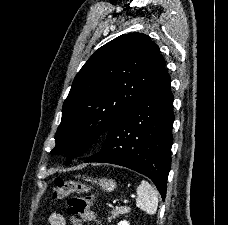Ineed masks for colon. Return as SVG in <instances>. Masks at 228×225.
I'll use <instances>...</instances> for the list:
<instances>
[{
	"instance_id": "colon-1",
	"label": "colon",
	"mask_w": 228,
	"mask_h": 225,
	"mask_svg": "<svg viewBox=\"0 0 228 225\" xmlns=\"http://www.w3.org/2000/svg\"><path fill=\"white\" fill-rule=\"evenodd\" d=\"M54 200L68 198L67 207L69 214H76L86 222L99 224L97 214L93 211V187L87 183L55 178L53 182Z\"/></svg>"
}]
</instances>
